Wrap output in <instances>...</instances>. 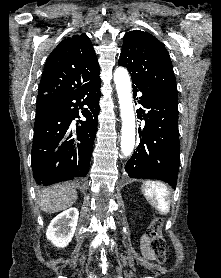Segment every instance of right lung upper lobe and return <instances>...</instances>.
I'll list each match as a JSON object with an SVG mask.
<instances>
[{
	"mask_svg": "<svg viewBox=\"0 0 221 278\" xmlns=\"http://www.w3.org/2000/svg\"><path fill=\"white\" fill-rule=\"evenodd\" d=\"M99 64L89 37L75 34L64 39L48 57L38 97L73 91L100 80Z\"/></svg>",
	"mask_w": 221,
	"mask_h": 278,
	"instance_id": "1",
	"label": "right lung upper lobe"
}]
</instances>
